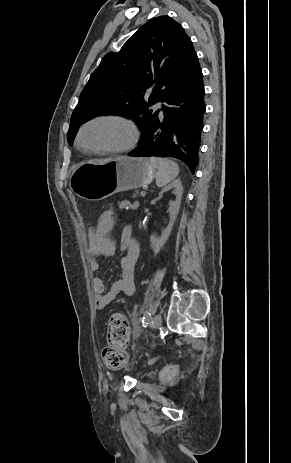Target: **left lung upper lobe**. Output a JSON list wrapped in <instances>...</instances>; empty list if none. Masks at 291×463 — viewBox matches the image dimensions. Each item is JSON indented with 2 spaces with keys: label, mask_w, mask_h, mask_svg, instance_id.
<instances>
[{
  "label": "left lung upper lobe",
  "mask_w": 291,
  "mask_h": 463,
  "mask_svg": "<svg viewBox=\"0 0 291 463\" xmlns=\"http://www.w3.org/2000/svg\"><path fill=\"white\" fill-rule=\"evenodd\" d=\"M199 61L183 27L169 16L150 19L119 52L105 55L72 113L68 143L79 126L103 114L130 117L142 135L157 116L149 109L191 76Z\"/></svg>",
  "instance_id": "1"
}]
</instances>
